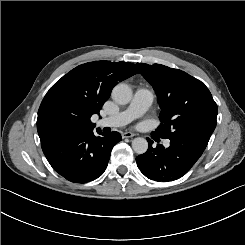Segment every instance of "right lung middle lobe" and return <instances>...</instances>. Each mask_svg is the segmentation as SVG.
I'll use <instances>...</instances> for the list:
<instances>
[{"label": "right lung middle lobe", "instance_id": "1", "mask_svg": "<svg viewBox=\"0 0 245 245\" xmlns=\"http://www.w3.org/2000/svg\"><path fill=\"white\" fill-rule=\"evenodd\" d=\"M90 118L86 114H67L63 116V120L70 127V132L92 129L95 125L91 122Z\"/></svg>", "mask_w": 245, "mask_h": 245}]
</instances>
